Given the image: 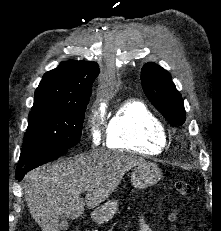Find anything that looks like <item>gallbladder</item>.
I'll use <instances>...</instances> for the list:
<instances>
[{
	"label": "gallbladder",
	"instance_id": "obj_1",
	"mask_svg": "<svg viewBox=\"0 0 221 231\" xmlns=\"http://www.w3.org/2000/svg\"><path fill=\"white\" fill-rule=\"evenodd\" d=\"M68 221L66 218H61L60 219V225H59V231H67L68 229Z\"/></svg>",
	"mask_w": 221,
	"mask_h": 231
}]
</instances>
